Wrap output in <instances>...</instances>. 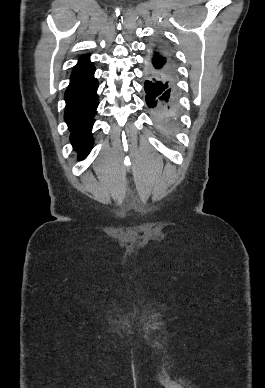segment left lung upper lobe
<instances>
[{"label":"left lung upper lobe","mask_w":265,"mask_h":388,"mask_svg":"<svg viewBox=\"0 0 265 388\" xmlns=\"http://www.w3.org/2000/svg\"><path fill=\"white\" fill-rule=\"evenodd\" d=\"M147 64L158 70L168 72L176 77L175 65L167 49L160 44L152 47L151 54Z\"/></svg>","instance_id":"5c2ea615"}]
</instances>
